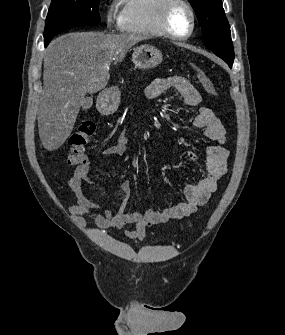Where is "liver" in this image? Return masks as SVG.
<instances>
[{
  "label": "liver",
  "mask_w": 285,
  "mask_h": 335,
  "mask_svg": "<svg viewBox=\"0 0 285 335\" xmlns=\"http://www.w3.org/2000/svg\"><path fill=\"white\" fill-rule=\"evenodd\" d=\"M142 40L147 38L141 34L72 32L50 42L37 118L45 150L53 152L63 146L86 94L104 90L112 62H122L128 50Z\"/></svg>",
  "instance_id": "1"
}]
</instances>
